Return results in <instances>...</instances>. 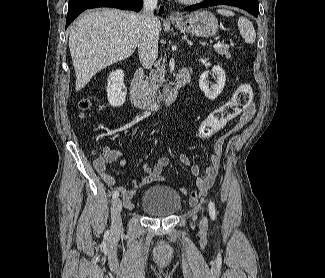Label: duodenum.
Returning a JSON list of instances; mask_svg holds the SVG:
<instances>
[{
    "instance_id": "duodenum-1",
    "label": "duodenum",
    "mask_w": 325,
    "mask_h": 278,
    "mask_svg": "<svg viewBox=\"0 0 325 278\" xmlns=\"http://www.w3.org/2000/svg\"><path fill=\"white\" fill-rule=\"evenodd\" d=\"M141 72L138 71L132 77L129 84V96L132 103L141 109L149 111H157L161 108L171 105L178 95L179 90L188 85L191 81V73L189 69H182L168 93L161 100H154L146 95L140 86Z\"/></svg>"
}]
</instances>
